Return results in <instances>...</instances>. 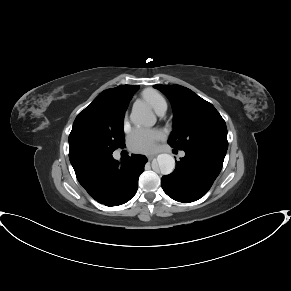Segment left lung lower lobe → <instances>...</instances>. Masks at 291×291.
Listing matches in <instances>:
<instances>
[{
    "label": "left lung lower lobe",
    "mask_w": 291,
    "mask_h": 291,
    "mask_svg": "<svg viewBox=\"0 0 291 291\" xmlns=\"http://www.w3.org/2000/svg\"><path fill=\"white\" fill-rule=\"evenodd\" d=\"M184 151L176 169L161 178V185L172 199L189 203L210 189L222 169L226 150L194 147Z\"/></svg>",
    "instance_id": "obj_1"
}]
</instances>
